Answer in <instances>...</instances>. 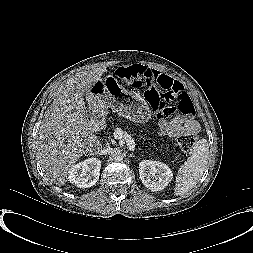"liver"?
Segmentation results:
<instances>
[{
    "label": "liver",
    "instance_id": "1",
    "mask_svg": "<svg viewBox=\"0 0 253 253\" xmlns=\"http://www.w3.org/2000/svg\"><path fill=\"white\" fill-rule=\"evenodd\" d=\"M104 70L81 72L62 83L44 113L36 142L37 156L47 176L65 185L68 172L87 150L93 130L87 121L83 95Z\"/></svg>",
    "mask_w": 253,
    "mask_h": 253
}]
</instances>
